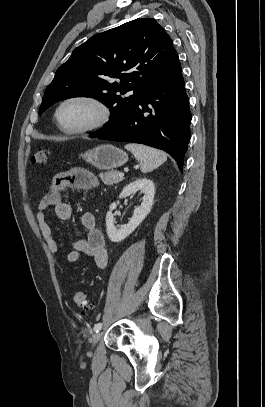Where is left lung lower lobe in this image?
Listing matches in <instances>:
<instances>
[{
    "instance_id": "0a47b994",
    "label": "left lung lower lobe",
    "mask_w": 265,
    "mask_h": 407,
    "mask_svg": "<svg viewBox=\"0 0 265 407\" xmlns=\"http://www.w3.org/2000/svg\"><path fill=\"white\" fill-rule=\"evenodd\" d=\"M146 112L150 114L146 115ZM191 119L189 98L180 66L171 75L152 84L125 120L108 132L92 137L162 149L177 161L182 170L190 140Z\"/></svg>"
}]
</instances>
